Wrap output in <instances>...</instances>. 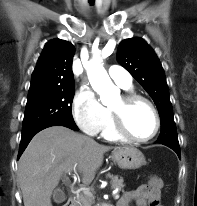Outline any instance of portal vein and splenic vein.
Masks as SVG:
<instances>
[{
    "label": "portal vein and splenic vein",
    "instance_id": "portal-vein-and-splenic-vein-1",
    "mask_svg": "<svg viewBox=\"0 0 197 206\" xmlns=\"http://www.w3.org/2000/svg\"><path fill=\"white\" fill-rule=\"evenodd\" d=\"M68 173H70V171H68ZM119 197H120L119 194H118V193H115L114 198H115V199H119Z\"/></svg>",
    "mask_w": 197,
    "mask_h": 206
}]
</instances>
